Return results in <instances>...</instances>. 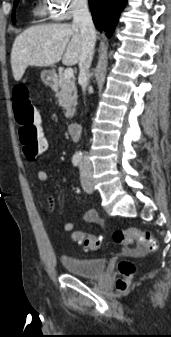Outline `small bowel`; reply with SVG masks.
<instances>
[{"mask_svg":"<svg viewBox=\"0 0 171 337\" xmlns=\"http://www.w3.org/2000/svg\"><path fill=\"white\" fill-rule=\"evenodd\" d=\"M37 177L41 182H46L48 180V173L45 170L41 169V170L38 171ZM72 189H73V192L76 195H80L81 191H80L79 188L73 187ZM49 208H50L51 211L54 209L53 199L50 200ZM82 218H83L84 221H86L88 223H94V224H100L101 223V219H100L98 213L93 209L85 212L82 215ZM60 229L64 232H70L74 229V223H72V222L65 223V224L60 226Z\"/></svg>","mask_w":171,"mask_h":337,"instance_id":"c3829d8e","label":"small bowel"}]
</instances>
